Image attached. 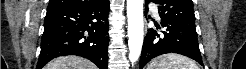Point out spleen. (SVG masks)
<instances>
[{
	"label": "spleen",
	"mask_w": 246,
	"mask_h": 69,
	"mask_svg": "<svg viewBox=\"0 0 246 69\" xmlns=\"http://www.w3.org/2000/svg\"><path fill=\"white\" fill-rule=\"evenodd\" d=\"M151 69H199L194 61L178 54H166L150 64Z\"/></svg>",
	"instance_id": "obj_1"
}]
</instances>
